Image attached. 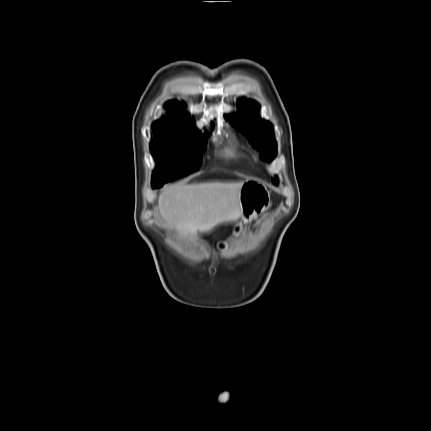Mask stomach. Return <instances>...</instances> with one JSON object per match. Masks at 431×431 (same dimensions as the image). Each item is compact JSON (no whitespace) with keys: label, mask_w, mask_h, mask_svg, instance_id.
I'll list each match as a JSON object with an SVG mask.
<instances>
[{"label":"stomach","mask_w":431,"mask_h":431,"mask_svg":"<svg viewBox=\"0 0 431 431\" xmlns=\"http://www.w3.org/2000/svg\"><path fill=\"white\" fill-rule=\"evenodd\" d=\"M270 206V192L265 185L254 180L243 182L240 190V208L242 221L236 226L234 234L246 224L263 214Z\"/></svg>","instance_id":"0dacf381"}]
</instances>
